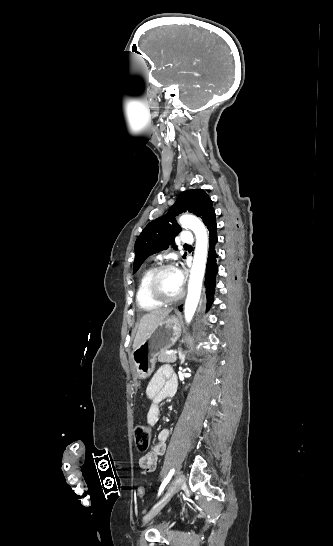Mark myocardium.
<instances>
[{
    "instance_id": "f54148a6",
    "label": "myocardium",
    "mask_w": 333,
    "mask_h": 546,
    "mask_svg": "<svg viewBox=\"0 0 333 546\" xmlns=\"http://www.w3.org/2000/svg\"><path fill=\"white\" fill-rule=\"evenodd\" d=\"M167 270H175V267L171 264H164V265H160L156 267L152 271L147 283V290H148L149 296L153 300L161 304H170V303L177 302L181 300L185 294L184 289H181L180 293L175 297L168 298L162 295V293L158 289V278L163 272Z\"/></svg>"
}]
</instances>
